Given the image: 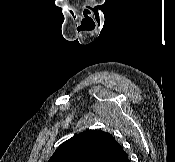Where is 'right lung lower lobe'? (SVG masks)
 <instances>
[{
  "label": "right lung lower lobe",
  "instance_id": "1",
  "mask_svg": "<svg viewBox=\"0 0 175 162\" xmlns=\"http://www.w3.org/2000/svg\"><path fill=\"white\" fill-rule=\"evenodd\" d=\"M119 162H130L128 157L125 156L124 158H122L121 160H119Z\"/></svg>",
  "mask_w": 175,
  "mask_h": 162
}]
</instances>
